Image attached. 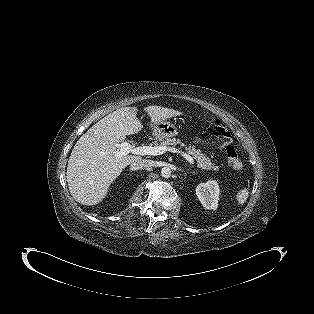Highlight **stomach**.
<instances>
[{"label": "stomach", "mask_w": 314, "mask_h": 314, "mask_svg": "<svg viewBox=\"0 0 314 314\" xmlns=\"http://www.w3.org/2000/svg\"><path fill=\"white\" fill-rule=\"evenodd\" d=\"M150 128L152 129L155 138L159 140H164L168 137H174L178 135L177 127L167 121L150 123Z\"/></svg>", "instance_id": "1"}]
</instances>
